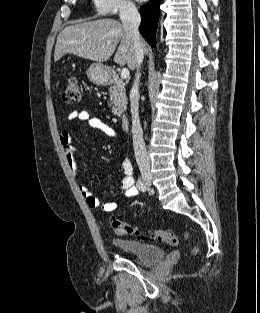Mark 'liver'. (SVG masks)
<instances>
[{"mask_svg":"<svg viewBox=\"0 0 260 313\" xmlns=\"http://www.w3.org/2000/svg\"><path fill=\"white\" fill-rule=\"evenodd\" d=\"M119 42L114 62L121 66L127 64L130 69H134L137 63L130 30L113 19H100L65 27L57 38L54 61L69 53L104 62L112 56ZM141 46L144 51L146 45L142 41Z\"/></svg>","mask_w":260,"mask_h":313,"instance_id":"obj_1","label":"liver"}]
</instances>
